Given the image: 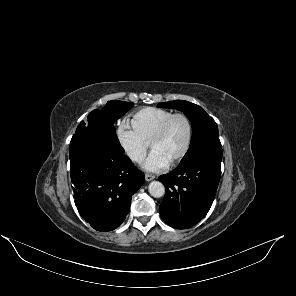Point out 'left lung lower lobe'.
Wrapping results in <instances>:
<instances>
[{"label":"left lung lower lobe","mask_w":296,"mask_h":296,"mask_svg":"<svg viewBox=\"0 0 296 296\" xmlns=\"http://www.w3.org/2000/svg\"><path fill=\"white\" fill-rule=\"evenodd\" d=\"M221 161V149L207 151L158 178L166 188L160 215L168 225L190 228L205 217L215 198Z\"/></svg>","instance_id":"0a47b994"}]
</instances>
